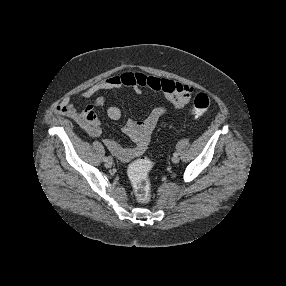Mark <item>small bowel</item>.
I'll return each instance as SVG.
<instances>
[{
    "label": "small bowel",
    "instance_id": "1",
    "mask_svg": "<svg viewBox=\"0 0 286 286\" xmlns=\"http://www.w3.org/2000/svg\"><path fill=\"white\" fill-rule=\"evenodd\" d=\"M123 87L132 88L136 94H141L144 88L161 92L169 98L173 107L178 111L183 110L188 105L193 92L191 86L182 82L145 75L141 72L126 71L95 83L80 96V99L87 100L99 91L117 90ZM96 102L98 105H103L105 99L100 97ZM58 110L59 113L74 120L91 137L100 138L103 136V129L93 106H87L84 110L79 111L76 103L67 98ZM121 114L118 105H111L107 109V115L112 120L120 119ZM166 114L167 110L164 107H156L143 120H128L123 127V132L132 140L133 146L131 147H124L110 138H104L103 142L116 158L122 162H128L145 152L158 121Z\"/></svg>",
    "mask_w": 286,
    "mask_h": 286
}]
</instances>
